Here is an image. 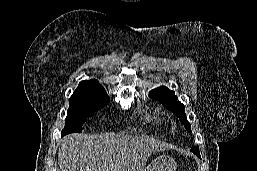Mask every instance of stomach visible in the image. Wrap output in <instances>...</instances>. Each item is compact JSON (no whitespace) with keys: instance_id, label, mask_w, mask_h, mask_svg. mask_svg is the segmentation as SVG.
Listing matches in <instances>:
<instances>
[{"instance_id":"0dacf381","label":"stomach","mask_w":257,"mask_h":171,"mask_svg":"<svg viewBox=\"0 0 257 171\" xmlns=\"http://www.w3.org/2000/svg\"><path fill=\"white\" fill-rule=\"evenodd\" d=\"M176 165L174 160L166 155H161L155 158L145 171H175Z\"/></svg>"}]
</instances>
